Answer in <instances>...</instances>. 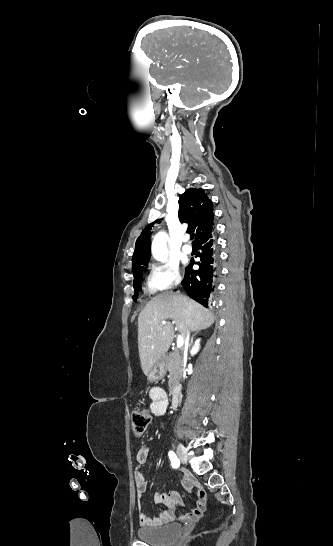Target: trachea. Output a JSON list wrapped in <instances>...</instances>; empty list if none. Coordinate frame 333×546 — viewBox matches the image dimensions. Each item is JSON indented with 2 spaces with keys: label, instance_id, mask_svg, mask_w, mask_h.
<instances>
[{
  "label": "trachea",
  "instance_id": "trachea-1",
  "mask_svg": "<svg viewBox=\"0 0 333 546\" xmlns=\"http://www.w3.org/2000/svg\"><path fill=\"white\" fill-rule=\"evenodd\" d=\"M190 238H191V240L194 239V234L193 233L190 235ZM192 244H194V242H192Z\"/></svg>",
  "mask_w": 333,
  "mask_h": 546
}]
</instances>
